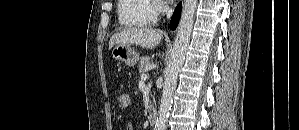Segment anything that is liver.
Instances as JSON below:
<instances>
[{"label": "liver", "instance_id": "1", "mask_svg": "<svg viewBox=\"0 0 299 130\" xmlns=\"http://www.w3.org/2000/svg\"><path fill=\"white\" fill-rule=\"evenodd\" d=\"M163 38V31L153 28H127L110 38L109 49L114 45L136 44L143 48H155Z\"/></svg>", "mask_w": 299, "mask_h": 130}]
</instances>
